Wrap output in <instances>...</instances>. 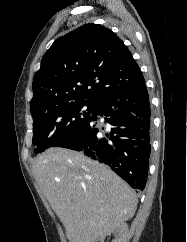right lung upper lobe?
Instances as JSON below:
<instances>
[{"label":"right lung upper lobe","mask_w":187,"mask_h":242,"mask_svg":"<svg viewBox=\"0 0 187 242\" xmlns=\"http://www.w3.org/2000/svg\"><path fill=\"white\" fill-rule=\"evenodd\" d=\"M131 52L111 30L87 24L56 39L36 72L32 117L72 102L97 105L144 83Z\"/></svg>","instance_id":"cb5924a9"}]
</instances>
